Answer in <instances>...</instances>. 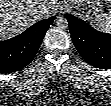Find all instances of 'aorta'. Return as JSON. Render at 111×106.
Masks as SVG:
<instances>
[{
  "label": "aorta",
  "instance_id": "aorta-1",
  "mask_svg": "<svg viewBox=\"0 0 111 106\" xmlns=\"http://www.w3.org/2000/svg\"><path fill=\"white\" fill-rule=\"evenodd\" d=\"M57 24L61 27V28H65L68 24L66 18L64 17H60L57 21Z\"/></svg>",
  "mask_w": 111,
  "mask_h": 106
}]
</instances>
